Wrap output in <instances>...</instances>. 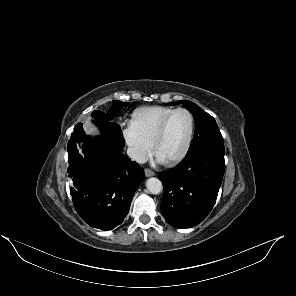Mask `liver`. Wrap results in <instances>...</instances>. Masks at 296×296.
<instances>
[{
  "mask_svg": "<svg viewBox=\"0 0 296 296\" xmlns=\"http://www.w3.org/2000/svg\"><path fill=\"white\" fill-rule=\"evenodd\" d=\"M85 130L88 134L97 132L96 128L93 125H91L90 123L85 124ZM79 151L81 153V149H79Z\"/></svg>",
  "mask_w": 296,
  "mask_h": 296,
  "instance_id": "1",
  "label": "liver"
}]
</instances>
